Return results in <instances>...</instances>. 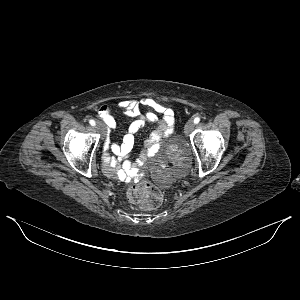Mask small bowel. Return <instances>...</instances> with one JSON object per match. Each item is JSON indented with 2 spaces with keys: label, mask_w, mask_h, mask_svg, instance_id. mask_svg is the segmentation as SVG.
<instances>
[{
  "label": "small bowel",
  "mask_w": 300,
  "mask_h": 300,
  "mask_svg": "<svg viewBox=\"0 0 300 300\" xmlns=\"http://www.w3.org/2000/svg\"><path fill=\"white\" fill-rule=\"evenodd\" d=\"M142 107L148 108V111L142 113ZM118 108L126 115L133 117L134 120L129 124L122 143L106 142V149L111 150L116 157L104 153L103 169L105 174L113 178H120L122 176L131 178L135 175L137 167L145 164L150 158L157 154L162 139L172 133L174 113L171 109L150 97H145L140 100H122L118 103ZM97 113L104 121L107 133L116 128V120L109 106H100ZM147 123H155L156 126L146 140L143 151L133 163L122 161L132 151L136 134L144 128Z\"/></svg>",
  "instance_id": "c3829d8e"
}]
</instances>
